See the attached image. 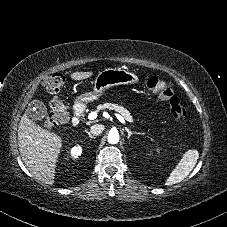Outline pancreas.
<instances>
[{
    "label": "pancreas",
    "mask_w": 227,
    "mask_h": 227,
    "mask_svg": "<svg viewBox=\"0 0 227 227\" xmlns=\"http://www.w3.org/2000/svg\"><path fill=\"white\" fill-rule=\"evenodd\" d=\"M103 109L115 110L116 112L120 113L125 120H127L130 123L133 122V117L130 115V112L120 105L113 104V103H105L97 106V111H100Z\"/></svg>",
    "instance_id": "obj_1"
}]
</instances>
